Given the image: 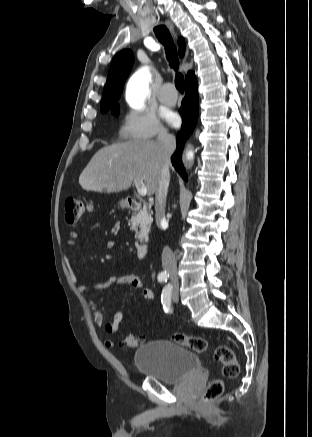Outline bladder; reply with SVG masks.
Instances as JSON below:
<instances>
[{"instance_id": "1", "label": "bladder", "mask_w": 312, "mask_h": 437, "mask_svg": "<svg viewBox=\"0 0 312 437\" xmlns=\"http://www.w3.org/2000/svg\"><path fill=\"white\" fill-rule=\"evenodd\" d=\"M134 364L143 375L167 384L181 383L202 372L196 353L169 340H153L142 345L134 354Z\"/></svg>"}]
</instances>
